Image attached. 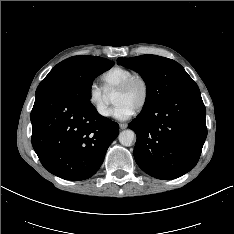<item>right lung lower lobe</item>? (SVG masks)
Instances as JSON below:
<instances>
[{
	"mask_svg": "<svg viewBox=\"0 0 234 234\" xmlns=\"http://www.w3.org/2000/svg\"><path fill=\"white\" fill-rule=\"evenodd\" d=\"M32 145L50 173L79 181L94 175L119 134V125L69 93L36 95L31 111Z\"/></svg>",
	"mask_w": 234,
	"mask_h": 234,
	"instance_id": "obj_1",
	"label": "right lung lower lobe"
}]
</instances>
